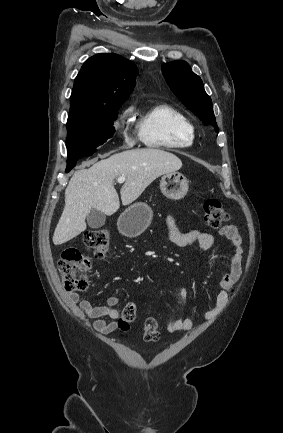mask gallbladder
I'll list each match as a JSON object with an SVG mask.
<instances>
[{
	"label": "gallbladder",
	"instance_id": "gallbladder-1",
	"mask_svg": "<svg viewBox=\"0 0 283 433\" xmlns=\"http://www.w3.org/2000/svg\"><path fill=\"white\" fill-rule=\"evenodd\" d=\"M86 221L91 229H100V227L105 225L106 214L105 212H101V210H97V208H91L87 214Z\"/></svg>",
	"mask_w": 283,
	"mask_h": 433
}]
</instances>
